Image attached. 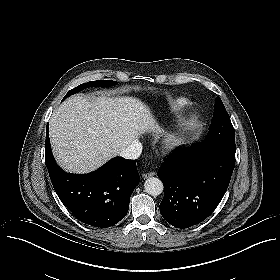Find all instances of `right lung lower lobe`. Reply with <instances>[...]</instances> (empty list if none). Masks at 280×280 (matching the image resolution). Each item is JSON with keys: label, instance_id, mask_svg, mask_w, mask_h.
Segmentation results:
<instances>
[{"label": "right lung lower lobe", "instance_id": "right-lung-lower-lobe-1", "mask_svg": "<svg viewBox=\"0 0 280 280\" xmlns=\"http://www.w3.org/2000/svg\"><path fill=\"white\" fill-rule=\"evenodd\" d=\"M45 152L55 192L78 220L94 227L107 228L125 217L131 194L140 179L134 160L115 157L94 172L68 174L59 168L52 156L48 127Z\"/></svg>", "mask_w": 280, "mask_h": 280}]
</instances>
